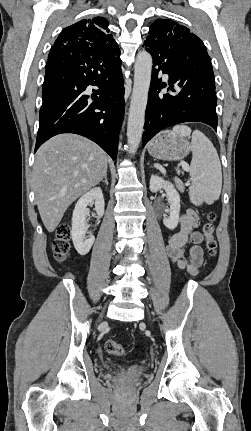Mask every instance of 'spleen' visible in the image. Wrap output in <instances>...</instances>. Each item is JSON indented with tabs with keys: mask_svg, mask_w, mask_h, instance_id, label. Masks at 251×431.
Masks as SVG:
<instances>
[{
	"mask_svg": "<svg viewBox=\"0 0 251 431\" xmlns=\"http://www.w3.org/2000/svg\"><path fill=\"white\" fill-rule=\"evenodd\" d=\"M172 133L189 136L191 129L186 125H176L172 129ZM191 151L190 200L196 206L204 202L212 204L218 200L222 188V171L218 153L212 142L199 130L192 133Z\"/></svg>",
	"mask_w": 251,
	"mask_h": 431,
	"instance_id": "obj_1",
	"label": "spleen"
}]
</instances>
